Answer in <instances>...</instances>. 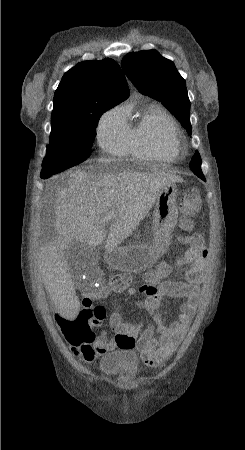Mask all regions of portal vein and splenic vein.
<instances>
[{
  "mask_svg": "<svg viewBox=\"0 0 245 450\" xmlns=\"http://www.w3.org/2000/svg\"><path fill=\"white\" fill-rule=\"evenodd\" d=\"M113 218V212H109L103 219H101V223H105Z\"/></svg>",
  "mask_w": 245,
  "mask_h": 450,
  "instance_id": "obj_1",
  "label": "portal vein and splenic vein"
}]
</instances>
